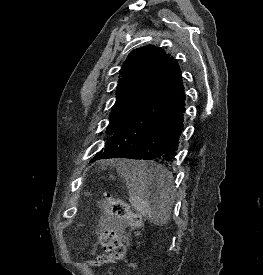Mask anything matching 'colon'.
<instances>
[{
	"mask_svg": "<svg viewBox=\"0 0 263 275\" xmlns=\"http://www.w3.org/2000/svg\"><path fill=\"white\" fill-rule=\"evenodd\" d=\"M108 214L119 223L126 224L134 229H141L144 226L140 214L129 209L128 205L118 196L105 194L102 200ZM103 253L97 255L88 263L92 267H102L113 264L125 258L126 248L119 235L113 229H105L99 236Z\"/></svg>",
	"mask_w": 263,
	"mask_h": 275,
	"instance_id": "colon-1",
	"label": "colon"
}]
</instances>
